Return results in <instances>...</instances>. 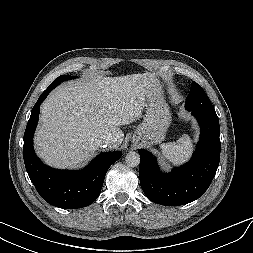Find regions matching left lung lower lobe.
Returning <instances> with one entry per match:
<instances>
[{
    "label": "left lung lower lobe",
    "mask_w": 253,
    "mask_h": 253,
    "mask_svg": "<svg viewBox=\"0 0 253 253\" xmlns=\"http://www.w3.org/2000/svg\"><path fill=\"white\" fill-rule=\"evenodd\" d=\"M191 111L201 127V135L190 162L163 174L158 170L155 157L146 150H139L141 188L147 198L158 204L178 206L198 199L216 174L221 149L218 116L215 111Z\"/></svg>",
    "instance_id": "0a47b994"
}]
</instances>
